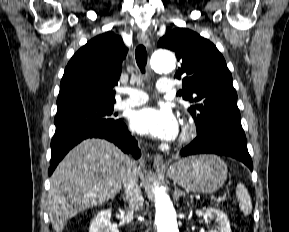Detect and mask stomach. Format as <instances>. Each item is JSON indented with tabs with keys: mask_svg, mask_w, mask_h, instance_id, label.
Masks as SVG:
<instances>
[{
	"mask_svg": "<svg viewBox=\"0 0 289 232\" xmlns=\"http://www.w3.org/2000/svg\"><path fill=\"white\" fill-rule=\"evenodd\" d=\"M227 173V165L215 155L188 157L166 171L174 183L194 193L216 192L226 181Z\"/></svg>",
	"mask_w": 289,
	"mask_h": 232,
	"instance_id": "0dacf381",
	"label": "stomach"
}]
</instances>
